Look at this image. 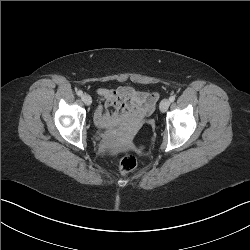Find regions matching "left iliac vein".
Returning a JSON list of instances; mask_svg holds the SVG:
<instances>
[{"label":"left iliac vein","mask_w":250,"mask_h":250,"mask_svg":"<svg viewBox=\"0 0 250 250\" xmlns=\"http://www.w3.org/2000/svg\"><path fill=\"white\" fill-rule=\"evenodd\" d=\"M169 106H170V100H168V99H163V100L161 101L159 107H160V110H161L162 112H166L167 109L169 108Z\"/></svg>","instance_id":"4c4485c4"}]
</instances>
